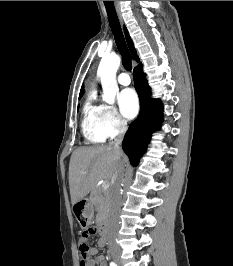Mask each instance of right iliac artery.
<instances>
[{
	"mask_svg": "<svg viewBox=\"0 0 233 266\" xmlns=\"http://www.w3.org/2000/svg\"><path fill=\"white\" fill-rule=\"evenodd\" d=\"M110 266H117V265L114 262H111Z\"/></svg>",
	"mask_w": 233,
	"mask_h": 266,
	"instance_id": "1",
	"label": "right iliac artery"
}]
</instances>
